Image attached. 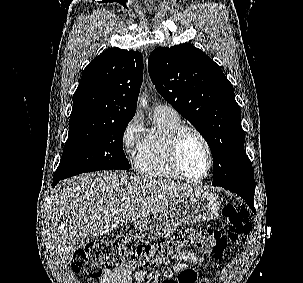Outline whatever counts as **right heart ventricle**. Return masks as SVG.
<instances>
[{"label":"right heart ventricle","instance_id":"e07e8e85","mask_svg":"<svg viewBox=\"0 0 303 283\" xmlns=\"http://www.w3.org/2000/svg\"><path fill=\"white\" fill-rule=\"evenodd\" d=\"M183 123L177 112L155 111V125L148 130L136 153L134 166L143 176L181 180L169 155V139Z\"/></svg>","mask_w":303,"mask_h":283}]
</instances>
